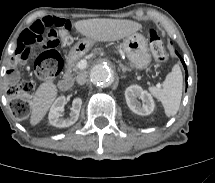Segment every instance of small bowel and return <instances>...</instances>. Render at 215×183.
<instances>
[{
    "mask_svg": "<svg viewBox=\"0 0 215 183\" xmlns=\"http://www.w3.org/2000/svg\"><path fill=\"white\" fill-rule=\"evenodd\" d=\"M56 19H57V18H56ZM37 21H38V20H37ZM14 78L17 79V76L15 75Z\"/></svg>",
    "mask_w": 215,
    "mask_h": 183,
    "instance_id": "obj_1",
    "label": "small bowel"
}]
</instances>
